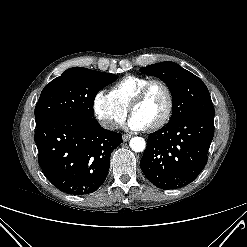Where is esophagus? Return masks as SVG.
Here are the masks:
<instances>
[{
  "mask_svg": "<svg viewBox=\"0 0 247 247\" xmlns=\"http://www.w3.org/2000/svg\"><path fill=\"white\" fill-rule=\"evenodd\" d=\"M122 138H123V141L126 142V141H129L131 139V135L124 134Z\"/></svg>",
  "mask_w": 247,
  "mask_h": 247,
  "instance_id": "esophagus-1",
  "label": "esophagus"
}]
</instances>
